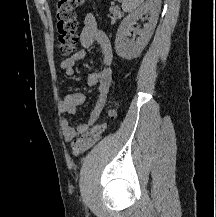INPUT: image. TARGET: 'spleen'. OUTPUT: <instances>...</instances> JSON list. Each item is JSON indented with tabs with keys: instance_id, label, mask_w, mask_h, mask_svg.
Wrapping results in <instances>:
<instances>
[{
	"instance_id": "spleen-1",
	"label": "spleen",
	"mask_w": 216,
	"mask_h": 217,
	"mask_svg": "<svg viewBox=\"0 0 216 217\" xmlns=\"http://www.w3.org/2000/svg\"><path fill=\"white\" fill-rule=\"evenodd\" d=\"M122 9L125 12H131L135 10L144 0H121Z\"/></svg>"
}]
</instances>
